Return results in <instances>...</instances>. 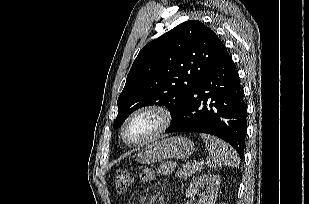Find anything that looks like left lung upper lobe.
<instances>
[{"mask_svg": "<svg viewBox=\"0 0 309 204\" xmlns=\"http://www.w3.org/2000/svg\"><path fill=\"white\" fill-rule=\"evenodd\" d=\"M226 52L218 36L200 21H186L139 52L117 105L114 128L138 108L166 106L172 118L190 98L203 75Z\"/></svg>", "mask_w": 309, "mask_h": 204, "instance_id": "obj_1", "label": "left lung upper lobe"}]
</instances>
